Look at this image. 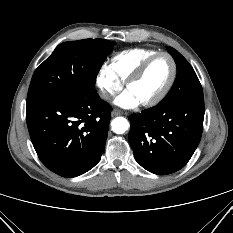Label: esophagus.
Segmentation results:
<instances>
[{
	"label": "esophagus",
	"mask_w": 233,
	"mask_h": 233,
	"mask_svg": "<svg viewBox=\"0 0 233 233\" xmlns=\"http://www.w3.org/2000/svg\"><path fill=\"white\" fill-rule=\"evenodd\" d=\"M123 112L120 109H113L112 111V116H118V115H122Z\"/></svg>",
	"instance_id": "34e87169"
}]
</instances>
